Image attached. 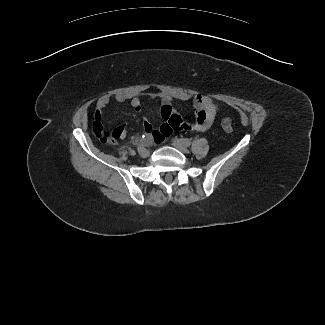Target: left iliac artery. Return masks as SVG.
I'll return each instance as SVG.
<instances>
[{
    "label": "left iliac artery",
    "instance_id": "1",
    "mask_svg": "<svg viewBox=\"0 0 325 325\" xmlns=\"http://www.w3.org/2000/svg\"><path fill=\"white\" fill-rule=\"evenodd\" d=\"M177 141H179L180 143H182L185 146H190V144H191V141L187 138L178 139Z\"/></svg>",
    "mask_w": 325,
    "mask_h": 325
}]
</instances>
